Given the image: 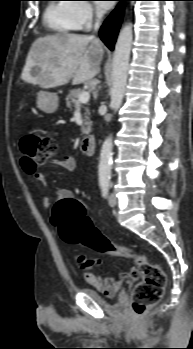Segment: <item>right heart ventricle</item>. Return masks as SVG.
Listing matches in <instances>:
<instances>
[{
  "label": "right heart ventricle",
  "mask_w": 193,
  "mask_h": 349,
  "mask_svg": "<svg viewBox=\"0 0 193 349\" xmlns=\"http://www.w3.org/2000/svg\"><path fill=\"white\" fill-rule=\"evenodd\" d=\"M72 5L65 0L53 1L47 5L44 22L51 31L67 34L79 28Z\"/></svg>",
  "instance_id": "e07e8e85"
}]
</instances>
